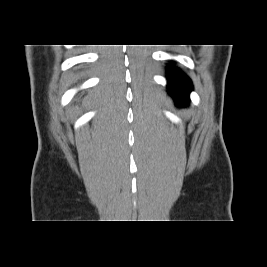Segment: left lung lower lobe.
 <instances>
[{
	"label": "left lung lower lobe",
	"instance_id": "1",
	"mask_svg": "<svg viewBox=\"0 0 267 267\" xmlns=\"http://www.w3.org/2000/svg\"><path fill=\"white\" fill-rule=\"evenodd\" d=\"M168 89L179 106L188 104L192 83L185 74L173 67H168Z\"/></svg>",
	"mask_w": 267,
	"mask_h": 267
}]
</instances>
